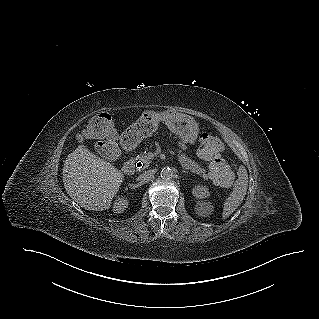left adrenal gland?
Listing matches in <instances>:
<instances>
[{
    "mask_svg": "<svg viewBox=\"0 0 319 319\" xmlns=\"http://www.w3.org/2000/svg\"><path fill=\"white\" fill-rule=\"evenodd\" d=\"M182 173H184V174H188V171L183 170V171H182Z\"/></svg>",
    "mask_w": 319,
    "mask_h": 319,
    "instance_id": "left-adrenal-gland-1",
    "label": "left adrenal gland"
}]
</instances>
